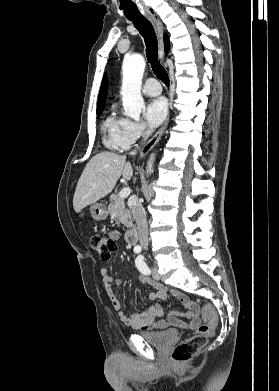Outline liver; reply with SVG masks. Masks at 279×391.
Segmentation results:
<instances>
[{
    "label": "liver",
    "instance_id": "obj_1",
    "mask_svg": "<svg viewBox=\"0 0 279 391\" xmlns=\"http://www.w3.org/2000/svg\"><path fill=\"white\" fill-rule=\"evenodd\" d=\"M130 180L133 169L126 157L112 152H101L91 158L80 176L73 197L74 210L96 203L108 195L120 176Z\"/></svg>",
    "mask_w": 279,
    "mask_h": 391
}]
</instances>
